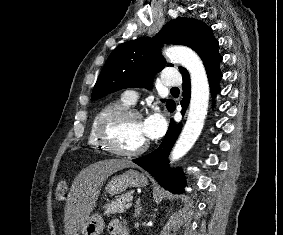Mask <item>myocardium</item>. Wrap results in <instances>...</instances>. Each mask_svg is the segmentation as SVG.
Instances as JSON below:
<instances>
[{"instance_id": "myocardium-1", "label": "myocardium", "mask_w": 283, "mask_h": 235, "mask_svg": "<svg viewBox=\"0 0 283 235\" xmlns=\"http://www.w3.org/2000/svg\"><path fill=\"white\" fill-rule=\"evenodd\" d=\"M133 117L141 119L142 115L138 110L126 107L109 113L101 120L97 128V138L105 150L117 156L135 157L143 154L148 149V140L135 150H122L112 140L111 132L114 126L122 120Z\"/></svg>"}]
</instances>
